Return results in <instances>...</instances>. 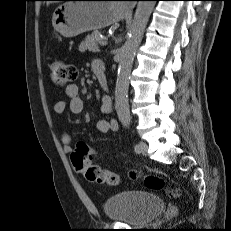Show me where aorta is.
I'll use <instances>...</instances> for the list:
<instances>
[{
    "instance_id": "1",
    "label": "aorta",
    "mask_w": 231,
    "mask_h": 231,
    "mask_svg": "<svg viewBox=\"0 0 231 231\" xmlns=\"http://www.w3.org/2000/svg\"><path fill=\"white\" fill-rule=\"evenodd\" d=\"M155 1H140L136 7L134 19L130 26L125 44L120 51V60L115 88V109L122 123L130 122L128 102L129 79L135 52L146 28Z\"/></svg>"
}]
</instances>
